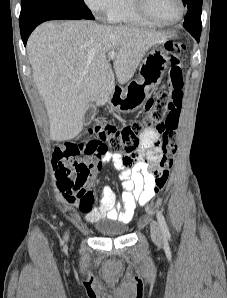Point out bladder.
<instances>
[{"mask_svg":"<svg viewBox=\"0 0 227 298\" xmlns=\"http://www.w3.org/2000/svg\"><path fill=\"white\" fill-rule=\"evenodd\" d=\"M96 231L105 237H117L125 235L128 231V226L117 221H101L95 225Z\"/></svg>","mask_w":227,"mask_h":298,"instance_id":"1","label":"bladder"}]
</instances>
